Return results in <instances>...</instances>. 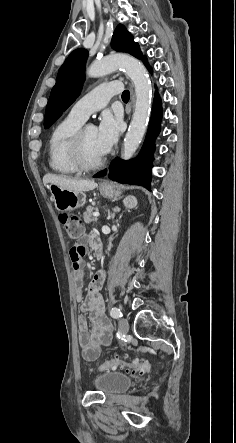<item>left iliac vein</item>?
Returning <instances> with one entry per match:
<instances>
[{"label": "left iliac vein", "instance_id": "left-iliac-vein-1", "mask_svg": "<svg viewBox=\"0 0 236 443\" xmlns=\"http://www.w3.org/2000/svg\"><path fill=\"white\" fill-rule=\"evenodd\" d=\"M120 330L123 334H126L129 330V323L128 320L126 318H121L120 319Z\"/></svg>", "mask_w": 236, "mask_h": 443}]
</instances>
